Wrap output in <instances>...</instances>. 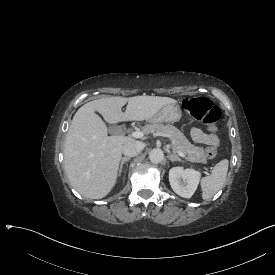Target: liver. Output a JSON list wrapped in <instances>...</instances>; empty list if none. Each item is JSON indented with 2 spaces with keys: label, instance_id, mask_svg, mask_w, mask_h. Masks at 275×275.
I'll return each mask as SVG.
<instances>
[{
  "label": "liver",
  "instance_id": "1",
  "mask_svg": "<svg viewBox=\"0 0 275 275\" xmlns=\"http://www.w3.org/2000/svg\"><path fill=\"white\" fill-rule=\"evenodd\" d=\"M124 112L121 108L126 103ZM175 100L166 97H111L83 105L69 127L64 148V167L72 186L83 196L104 197L117 175L124 136H107L104 122L94 113L102 114L109 123L120 120H147L161 107Z\"/></svg>",
  "mask_w": 275,
  "mask_h": 275
}]
</instances>
